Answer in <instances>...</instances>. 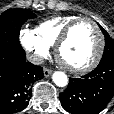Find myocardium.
I'll list each match as a JSON object with an SVG mask.
<instances>
[{
	"mask_svg": "<svg viewBox=\"0 0 114 114\" xmlns=\"http://www.w3.org/2000/svg\"><path fill=\"white\" fill-rule=\"evenodd\" d=\"M84 21H87L94 26L99 37V45H98V49H97L95 56L88 64L81 66V67H73L63 61L61 57V51L65 43L70 38L74 28L79 23L84 22ZM55 46H56V58L63 67H65L67 70H69L70 72L74 74H85V73L92 71L100 63L103 53H104V49H105V37L99 24L95 20L89 17H79L67 25V27L63 30L60 37L58 38Z\"/></svg>",
	"mask_w": 114,
	"mask_h": 114,
	"instance_id": "obj_1",
	"label": "myocardium"
}]
</instances>
